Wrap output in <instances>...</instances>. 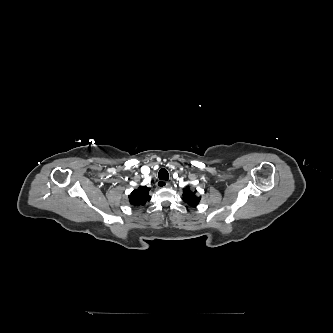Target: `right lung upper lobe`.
<instances>
[{
    "mask_svg": "<svg viewBox=\"0 0 333 333\" xmlns=\"http://www.w3.org/2000/svg\"><path fill=\"white\" fill-rule=\"evenodd\" d=\"M149 190L150 188L146 186H140L138 189L134 190L129 195V202L133 206H143L146 204L147 201L151 199V196H149Z\"/></svg>",
    "mask_w": 333,
    "mask_h": 333,
    "instance_id": "obj_1",
    "label": "right lung upper lobe"
}]
</instances>
